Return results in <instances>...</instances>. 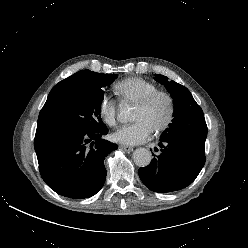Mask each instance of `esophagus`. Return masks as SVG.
Segmentation results:
<instances>
[{
    "label": "esophagus",
    "instance_id": "esophagus-1",
    "mask_svg": "<svg viewBox=\"0 0 248 248\" xmlns=\"http://www.w3.org/2000/svg\"><path fill=\"white\" fill-rule=\"evenodd\" d=\"M121 149H123L124 151L130 153L133 151V148L132 147H129V146H125V145H120L119 146Z\"/></svg>",
    "mask_w": 248,
    "mask_h": 248
}]
</instances>
